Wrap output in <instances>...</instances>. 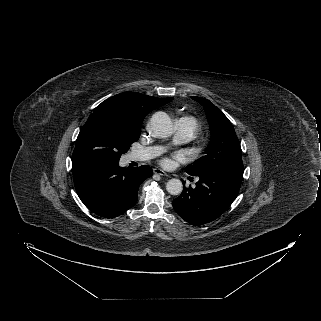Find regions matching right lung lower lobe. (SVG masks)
I'll list each match as a JSON object with an SVG mask.
<instances>
[{
  "mask_svg": "<svg viewBox=\"0 0 321 321\" xmlns=\"http://www.w3.org/2000/svg\"><path fill=\"white\" fill-rule=\"evenodd\" d=\"M72 173L84 205L101 217L115 218L136 204L140 184L153 171L147 165L125 169L116 163L72 167Z\"/></svg>",
  "mask_w": 321,
  "mask_h": 321,
  "instance_id": "right-lung-lower-lobe-1",
  "label": "right lung lower lobe"
}]
</instances>
